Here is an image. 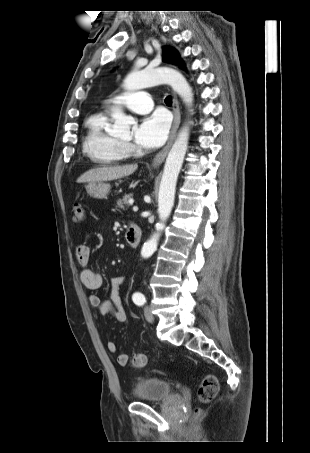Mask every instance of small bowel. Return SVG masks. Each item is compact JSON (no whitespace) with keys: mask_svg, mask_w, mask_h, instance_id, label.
Segmentation results:
<instances>
[{"mask_svg":"<svg viewBox=\"0 0 310 453\" xmlns=\"http://www.w3.org/2000/svg\"><path fill=\"white\" fill-rule=\"evenodd\" d=\"M90 256L91 252L88 245L80 244L77 246L76 258L79 265L82 267L79 272L80 282L87 289L95 291L102 286L103 278L98 271L87 267L90 262ZM125 281L126 277L123 275L110 278L109 299L103 301L96 293H91L87 297L89 304L96 308L101 315H111L117 321L127 323L128 313L120 295V287ZM107 349L110 353H116L117 346L114 342L109 341L107 343ZM117 363L120 366H127L129 363L128 354L124 352L118 353Z\"/></svg>","mask_w":310,"mask_h":453,"instance_id":"1","label":"small bowel"}]
</instances>
